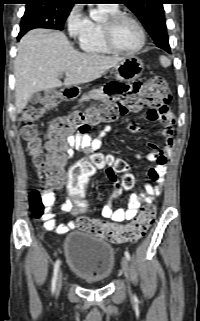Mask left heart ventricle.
<instances>
[{"mask_svg":"<svg viewBox=\"0 0 200 321\" xmlns=\"http://www.w3.org/2000/svg\"><path fill=\"white\" fill-rule=\"evenodd\" d=\"M114 39L119 48L129 51L140 44V33L132 21L122 19L115 27Z\"/></svg>","mask_w":200,"mask_h":321,"instance_id":"left-heart-ventricle-1","label":"left heart ventricle"}]
</instances>
